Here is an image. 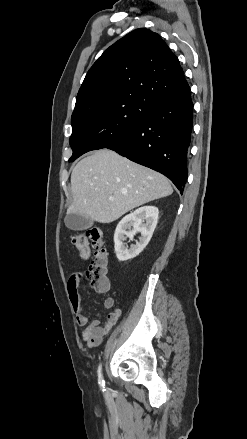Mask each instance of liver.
Masks as SVG:
<instances>
[{
  "label": "liver",
  "mask_w": 247,
  "mask_h": 439,
  "mask_svg": "<svg viewBox=\"0 0 247 439\" xmlns=\"http://www.w3.org/2000/svg\"><path fill=\"white\" fill-rule=\"evenodd\" d=\"M68 213L110 223L128 211L172 194L169 180L118 153L102 149L85 157L71 174Z\"/></svg>",
  "instance_id": "obj_1"
}]
</instances>
